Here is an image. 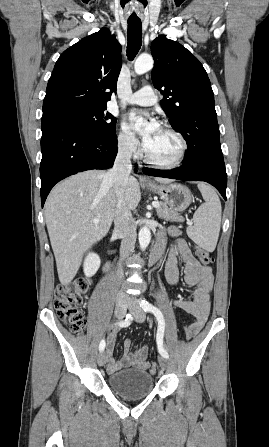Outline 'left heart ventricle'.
Segmentation results:
<instances>
[{
    "instance_id": "1",
    "label": "left heart ventricle",
    "mask_w": 269,
    "mask_h": 447,
    "mask_svg": "<svg viewBox=\"0 0 269 447\" xmlns=\"http://www.w3.org/2000/svg\"><path fill=\"white\" fill-rule=\"evenodd\" d=\"M145 145L149 155L162 163L175 161L181 149L179 138L162 127L155 130L145 140Z\"/></svg>"
}]
</instances>
